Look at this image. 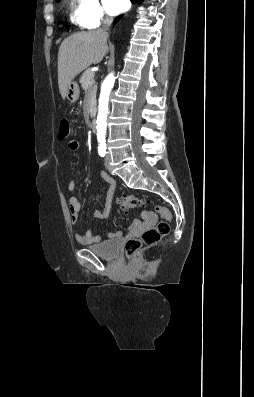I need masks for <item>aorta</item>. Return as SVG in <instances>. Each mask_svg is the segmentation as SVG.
I'll return each instance as SVG.
<instances>
[{
    "mask_svg": "<svg viewBox=\"0 0 254 397\" xmlns=\"http://www.w3.org/2000/svg\"><path fill=\"white\" fill-rule=\"evenodd\" d=\"M115 77L113 73H110L104 80L100 99H99V110L97 116V140L100 146L104 147L106 144L105 134L107 128V114H108V104H109V95L111 89L114 85Z\"/></svg>",
    "mask_w": 254,
    "mask_h": 397,
    "instance_id": "1",
    "label": "aorta"
}]
</instances>
